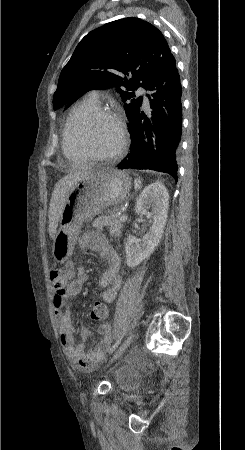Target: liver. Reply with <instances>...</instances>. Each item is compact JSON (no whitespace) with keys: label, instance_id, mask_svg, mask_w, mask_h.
<instances>
[{"label":"liver","instance_id":"6515ba94","mask_svg":"<svg viewBox=\"0 0 245 450\" xmlns=\"http://www.w3.org/2000/svg\"><path fill=\"white\" fill-rule=\"evenodd\" d=\"M95 169H83L75 172H71L67 176L63 177L56 184L52 193L48 217H49V235L51 238L55 237L57 232L58 222L60 220L67 196L73 186V184L79 179L90 175Z\"/></svg>","mask_w":245,"mask_h":450}]
</instances>
